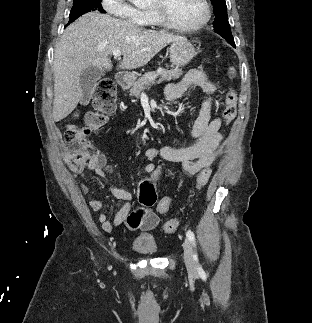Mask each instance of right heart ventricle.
Wrapping results in <instances>:
<instances>
[{
    "label": "right heart ventricle",
    "mask_w": 312,
    "mask_h": 323,
    "mask_svg": "<svg viewBox=\"0 0 312 323\" xmlns=\"http://www.w3.org/2000/svg\"><path fill=\"white\" fill-rule=\"evenodd\" d=\"M139 14L143 25H156V20H159V13H154L152 9H141Z\"/></svg>",
    "instance_id": "right-heart-ventricle-1"
}]
</instances>
